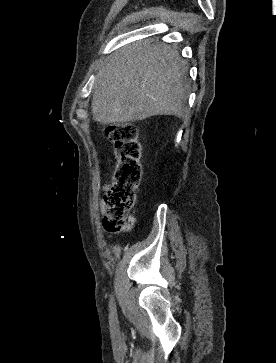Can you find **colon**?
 Listing matches in <instances>:
<instances>
[{"mask_svg": "<svg viewBox=\"0 0 276 363\" xmlns=\"http://www.w3.org/2000/svg\"><path fill=\"white\" fill-rule=\"evenodd\" d=\"M105 133L114 144L117 162L104 196L103 226L108 232L128 233L134 225L131 211L142 179L141 145L132 124L109 125Z\"/></svg>", "mask_w": 276, "mask_h": 363, "instance_id": "1", "label": "colon"}]
</instances>
